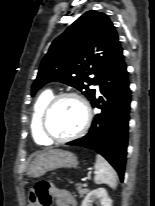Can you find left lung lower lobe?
Wrapping results in <instances>:
<instances>
[{
  "label": "left lung lower lobe",
  "instance_id": "0a47b994",
  "mask_svg": "<svg viewBox=\"0 0 155 206\" xmlns=\"http://www.w3.org/2000/svg\"><path fill=\"white\" fill-rule=\"evenodd\" d=\"M101 96L91 100L101 109L95 114L89 132L67 145L86 147L101 154L124 180L131 102L127 66L123 54L105 73L100 83Z\"/></svg>",
  "mask_w": 155,
  "mask_h": 206
}]
</instances>
